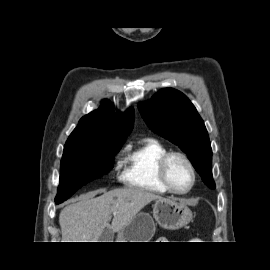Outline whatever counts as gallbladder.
Returning a JSON list of instances; mask_svg holds the SVG:
<instances>
[{"instance_id": "bac80fb5", "label": "gallbladder", "mask_w": 270, "mask_h": 270, "mask_svg": "<svg viewBox=\"0 0 270 270\" xmlns=\"http://www.w3.org/2000/svg\"><path fill=\"white\" fill-rule=\"evenodd\" d=\"M114 234L112 230L105 228L99 237V242H111Z\"/></svg>"}]
</instances>
